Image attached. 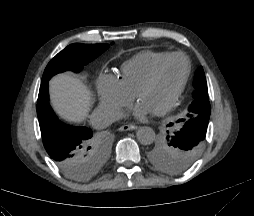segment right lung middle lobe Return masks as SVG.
<instances>
[{
	"mask_svg": "<svg viewBox=\"0 0 254 216\" xmlns=\"http://www.w3.org/2000/svg\"><path fill=\"white\" fill-rule=\"evenodd\" d=\"M109 48L107 44H71L59 52L47 65L41 82L48 81L53 75L72 70L80 72L84 65L91 62ZM108 156V145L95 137L94 148L91 159L94 163V176L105 164ZM62 170V169H61ZM69 177L76 180H87L90 176H85L79 168V163H72L68 171L62 170Z\"/></svg>",
	"mask_w": 254,
	"mask_h": 216,
	"instance_id": "obj_1",
	"label": "right lung middle lobe"
}]
</instances>
